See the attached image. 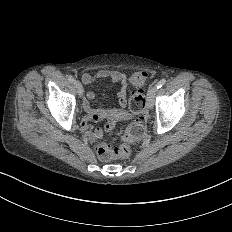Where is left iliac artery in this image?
<instances>
[{
    "label": "left iliac artery",
    "instance_id": "44dca946",
    "mask_svg": "<svg viewBox=\"0 0 232 232\" xmlns=\"http://www.w3.org/2000/svg\"><path fill=\"white\" fill-rule=\"evenodd\" d=\"M166 79H162L160 80L156 85H155V88L159 89L161 88L162 86H164L166 84Z\"/></svg>",
    "mask_w": 232,
    "mask_h": 232
}]
</instances>
